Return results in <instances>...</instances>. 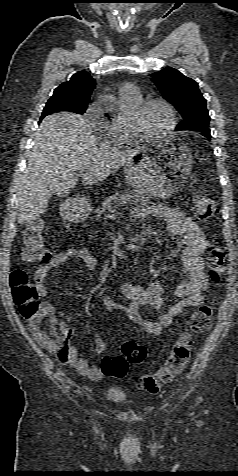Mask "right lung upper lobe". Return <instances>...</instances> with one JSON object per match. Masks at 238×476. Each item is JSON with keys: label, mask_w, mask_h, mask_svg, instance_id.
I'll return each instance as SVG.
<instances>
[{"label": "right lung upper lobe", "mask_w": 238, "mask_h": 476, "mask_svg": "<svg viewBox=\"0 0 238 476\" xmlns=\"http://www.w3.org/2000/svg\"><path fill=\"white\" fill-rule=\"evenodd\" d=\"M95 88V80L86 71L75 73L67 82L59 85L52 96L69 97L73 104L87 105L90 95Z\"/></svg>", "instance_id": "obj_1"}]
</instances>
